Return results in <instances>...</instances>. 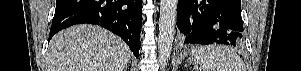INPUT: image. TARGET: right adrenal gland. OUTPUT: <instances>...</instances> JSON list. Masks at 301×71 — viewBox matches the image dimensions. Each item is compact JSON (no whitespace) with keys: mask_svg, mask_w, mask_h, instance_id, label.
<instances>
[{"mask_svg":"<svg viewBox=\"0 0 301 71\" xmlns=\"http://www.w3.org/2000/svg\"><path fill=\"white\" fill-rule=\"evenodd\" d=\"M127 67H128V66L126 65L124 71H127Z\"/></svg>","mask_w":301,"mask_h":71,"instance_id":"right-adrenal-gland-1","label":"right adrenal gland"}]
</instances>
